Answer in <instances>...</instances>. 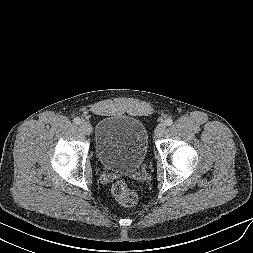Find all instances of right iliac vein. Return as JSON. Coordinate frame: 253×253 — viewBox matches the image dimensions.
I'll list each match as a JSON object with an SVG mask.
<instances>
[{"mask_svg": "<svg viewBox=\"0 0 253 253\" xmlns=\"http://www.w3.org/2000/svg\"><path fill=\"white\" fill-rule=\"evenodd\" d=\"M80 129L86 135H89L92 132V126L90 125V123H88L86 121H82L80 123Z\"/></svg>", "mask_w": 253, "mask_h": 253, "instance_id": "63e3f726", "label": "right iliac vein"}]
</instances>
